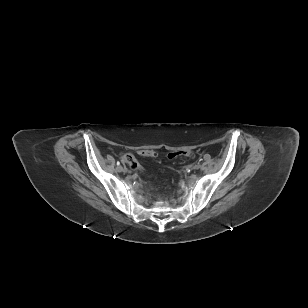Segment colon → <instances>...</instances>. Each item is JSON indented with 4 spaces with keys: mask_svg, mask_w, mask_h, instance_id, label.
<instances>
[{
    "mask_svg": "<svg viewBox=\"0 0 308 308\" xmlns=\"http://www.w3.org/2000/svg\"><path fill=\"white\" fill-rule=\"evenodd\" d=\"M139 154L141 156H144V157H152V156H154V151L149 150V149H144V150H141L139 152ZM179 156L191 157V156H193V152H191V151H179V152H171V153L168 154L169 159H175ZM122 160L126 163H129V165L132 169H139L140 168V165L132 158V156L130 154L123 155Z\"/></svg>",
    "mask_w": 308,
    "mask_h": 308,
    "instance_id": "5ec220e1",
    "label": "colon"
}]
</instances>
